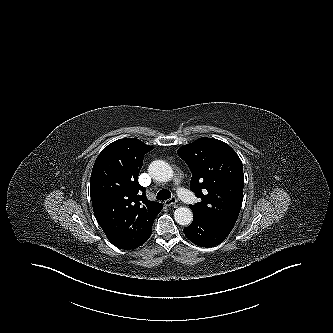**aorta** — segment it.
<instances>
[{
    "label": "aorta",
    "instance_id": "1",
    "mask_svg": "<svg viewBox=\"0 0 333 333\" xmlns=\"http://www.w3.org/2000/svg\"><path fill=\"white\" fill-rule=\"evenodd\" d=\"M148 172L155 180L160 182H167L174 176L172 167L163 160H155L151 162ZM174 219L179 225L186 226L192 222L193 213L187 207H178L174 211Z\"/></svg>",
    "mask_w": 333,
    "mask_h": 333
}]
</instances>
